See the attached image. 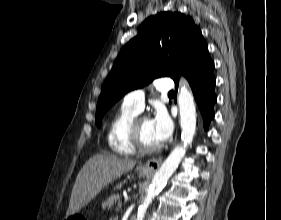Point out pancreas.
Returning <instances> with one entry per match:
<instances>
[{
	"label": "pancreas",
	"instance_id": "1",
	"mask_svg": "<svg viewBox=\"0 0 281 220\" xmlns=\"http://www.w3.org/2000/svg\"><path fill=\"white\" fill-rule=\"evenodd\" d=\"M119 199V194L111 195L104 203H102V207L110 209L117 201H119Z\"/></svg>",
	"mask_w": 281,
	"mask_h": 220
}]
</instances>
